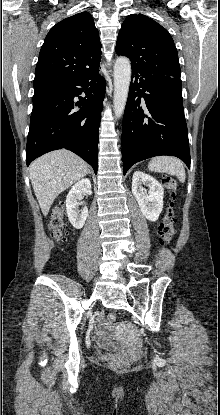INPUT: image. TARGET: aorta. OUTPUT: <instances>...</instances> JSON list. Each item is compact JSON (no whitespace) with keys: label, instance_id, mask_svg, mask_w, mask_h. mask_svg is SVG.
Listing matches in <instances>:
<instances>
[{"label":"aorta","instance_id":"obj_1","mask_svg":"<svg viewBox=\"0 0 220 415\" xmlns=\"http://www.w3.org/2000/svg\"><path fill=\"white\" fill-rule=\"evenodd\" d=\"M131 80V64L128 58L119 57L114 64V114L120 118L124 112Z\"/></svg>","mask_w":220,"mask_h":415}]
</instances>
